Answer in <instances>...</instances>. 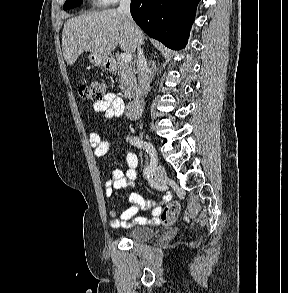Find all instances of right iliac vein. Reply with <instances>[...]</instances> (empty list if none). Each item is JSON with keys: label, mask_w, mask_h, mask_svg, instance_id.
<instances>
[{"label": "right iliac vein", "mask_w": 288, "mask_h": 293, "mask_svg": "<svg viewBox=\"0 0 288 293\" xmlns=\"http://www.w3.org/2000/svg\"><path fill=\"white\" fill-rule=\"evenodd\" d=\"M150 147H153V146L150 145ZM166 178H167V175H166L165 168L162 165L158 164V169L154 170V183L156 185L162 184L166 180Z\"/></svg>", "instance_id": "1"}]
</instances>
